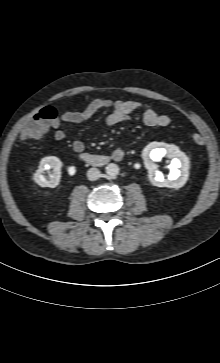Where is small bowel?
Listing matches in <instances>:
<instances>
[{"label":"small bowel","mask_w":220,"mask_h":363,"mask_svg":"<svg viewBox=\"0 0 220 363\" xmlns=\"http://www.w3.org/2000/svg\"><path fill=\"white\" fill-rule=\"evenodd\" d=\"M109 108L111 113L105 118L104 124L107 127L115 126L130 118L136 112L142 116L144 125L148 127H167L171 123L169 116L160 114L150 108L134 100H94L86 105L82 111H64L60 117L55 120L51 127L54 129V137L56 140H63L65 132L60 129L61 123H82L88 121L99 109ZM73 150L77 154L84 151V144L80 140L73 141ZM119 150V149H117ZM116 151V150H115ZM114 151V152H115ZM113 152V153H114Z\"/></svg>","instance_id":"c3829d8e"}]
</instances>
